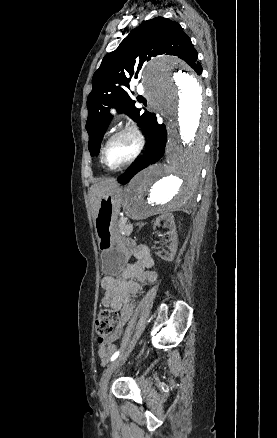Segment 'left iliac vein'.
Listing matches in <instances>:
<instances>
[{"instance_id": "obj_1", "label": "left iliac vein", "mask_w": 277, "mask_h": 438, "mask_svg": "<svg viewBox=\"0 0 277 438\" xmlns=\"http://www.w3.org/2000/svg\"><path fill=\"white\" fill-rule=\"evenodd\" d=\"M125 358H126V354L120 355L103 372V375L99 382V398L102 403H107V390H108L109 380L113 372L122 364Z\"/></svg>"}]
</instances>
